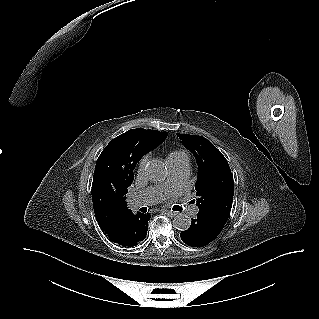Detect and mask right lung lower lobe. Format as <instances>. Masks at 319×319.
I'll use <instances>...</instances> for the list:
<instances>
[{
  "mask_svg": "<svg viewBox=\"0 0 319 319\" xmlns=\"http://www.w3.org/2000/svg\"><path fill=\"white\" fill-rule=\"evenodd\" d=\"M150 214L137 212L133 214L131 210L117 219L111 226L109 233H105L110 240L124 246L133 247L143 241L148 229Z\"/></svg>",
  "mask_w": 319,
  "mask_h": 319,
  "instance_id": "right-lung-lower-lobe-1",
  "label": "right lung lower lobe"
}]
</instances>
